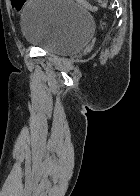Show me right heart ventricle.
I'll return each instance as SVG.
<instances>
[{
    "mask_svg": "<svg viewBox=\"0 0 140 196\" xmlns=\"http://www.w3.org/2000/svg\"><path fill=\"white\" fill-rule=\"evenodd\" d=\"M4 192H22V191H4ZM28 192H35V191H28Z\"/></svg>",
    "mask_w": 140,
    "mask_h": 196,
    "instance_id": "obj_1",
    "label": "right heart ventricle"
}]
</instances>
